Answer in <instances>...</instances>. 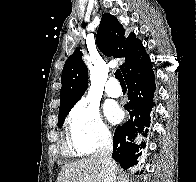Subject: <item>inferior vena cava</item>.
Instances as JSON below:
<instances>
[{"mask_svg": "<svg viewBox=\"0 0 196 182\" xmlns=\"http://www.w3.org/2000/svg\"><path fill=\"white\" fill-rule=\"evenodd\" d=\"M112 150L113 145L111 134L102 133L99 146L94 156L101 162L104 173V182H116V167L111 158Z\"/></svg>", "mask_w": 196, "mask_h": 182, "instance_id": "602c4592", "label": "inferior vena cava"}]
</instances>
